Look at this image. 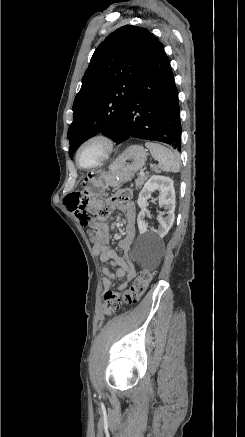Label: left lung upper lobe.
I'll use <instances>...</instances> for the list:
<instances>
[{
  "mask_svg": "<svg viewBox=\"0 0 245 437\" xmlns=\"http://www.w3.org/2000/svg\"><path fill=\"white\" fill-rule=\"evenodd\" d=\"M159 44L148 29L125 25L97 47L73 103L68 130L71 158L99 132L117 142L129 96Z\"/></svg>",
  "mask_w": 245,
  "mask_h": 437,
  "instance_id": "1",
  "label": "left lung upper lobe"
}]
</instances>
